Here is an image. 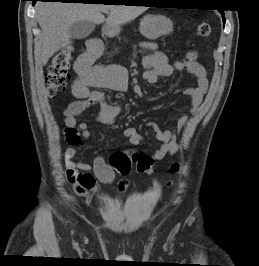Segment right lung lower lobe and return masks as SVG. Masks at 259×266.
Here are the masks:
<instances>
[{"label":"right lung lower lobe","mask_w":259,"mask_h":266,"mask_svg":"<svg viewBox=\"0 0 259 266\" xmlns=\"http://www.w3.org/2000/svg\"><path fill=\"white\" fill-rule=\"evenodd\" d=\"M31 1H33V5H34L37 1H42V2H44V1H60V2L64 3L66 1H72V0H31ZM83 3H86V2H83Z\"/></svg>","instance_id":"1"}]
</instances>
